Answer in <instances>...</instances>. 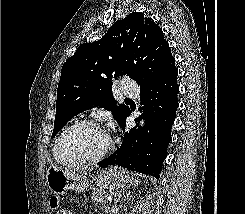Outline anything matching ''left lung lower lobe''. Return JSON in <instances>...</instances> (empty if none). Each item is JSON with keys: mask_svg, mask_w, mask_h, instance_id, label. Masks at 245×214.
I'll list each match as a JSON object with an SVG mask.
<instances>
[{"mask_svg": "<svg viewBox=\"0 0 245 214\" xmlns=\"http://www.w3.org/2000/svg\"><path fill=\"white\" fill-rule=\"evenodd\" d=\"M177 76L178 71L173 64L157 81L140 90L141 104L145 110L144 128H133L126 132L120 148L99 162L100 167L119 165L159 178L179 106ZM130 113L129 110L121 124L123 131L126 127L125 120ZM141 118L135 121L138 122Z\"/></svg>", "mask_w": 245, "mask_h": 214, "instance_id": "left-lung-lower-lobe-1", "label": "left lung lower lobe"}]
</instances>
